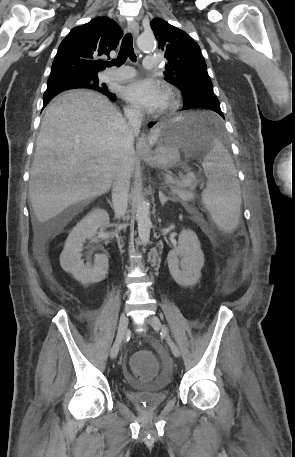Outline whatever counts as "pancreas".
<instances>
[{"instance_id":"1","label":"pancreas","mask_w":295,"mask_h":457,"mask_svg":"<svg viewBox=\"0 0 295 457\" xmlns=\"http://www.w3.org/2000/svg\"><path fill=\"white\" fill-rule=\"evenodd\" d=\"M195 186L196 182H191L187 185L172 186L171 193L173 195V199L176 200L179 198L183 202L193 200V190L195 189Z\"/></svg>"}]
</instances>
